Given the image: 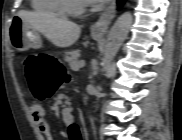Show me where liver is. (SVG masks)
<instances>
[{
  "label": "liver",
  "instance_id": "obj_1",
  "mask_svg": "<svg viewBox=\"0 0 182 140\" xmlns=\"http://www.w3.org/2000/svg\"><path fill=\"white\" fill-rule=\"evenodd\" d=\"M18 15L57 47H70L80 36V26L53 14L21 11Z\"/></svg>",
  "mask_w": 182,
  "mask_h": 140
}]
</instances>
